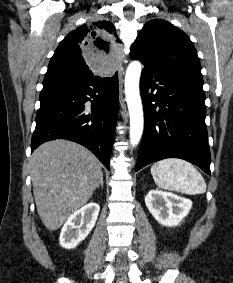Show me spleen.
Returning a JSON list of instances; mask_svg holds the SVG:
<instances>
[{"label": "spleen", "mask_w": 233, "mask_h": 283, "mask_svg": "<svg viewBox=\"0 0 233 283\" xmlns=\"http://www.w3.org/2000/svg\"><path fill=\"white\" fill-rule=\"evenodd\" d=\"M151 174L159 188L188 195L206 192V183L200 172L181 159H164L151 167Z\"/></svg>", "instance_id": "3e777b00"}]
</instances>
